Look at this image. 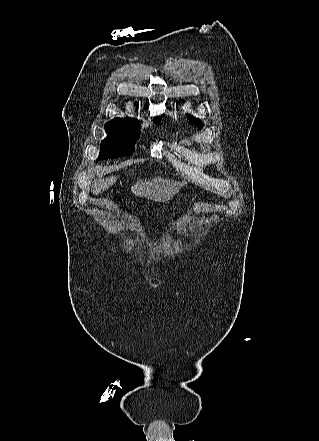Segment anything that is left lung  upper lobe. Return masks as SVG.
I'll return each mask as SVG.
<instances>
[{
  "label": "left lung upper lobe",
  "instance_id": "5c2ea615",
  "mask_svg": "<svg viewBox=\"0 0 319 441\" xmlns=\"http://www.w3.org/2000/svg\"><path fill=\"white\" fill-rule=\"evenodd\" d=\"M192 123H194L196 126H198L200 129L202 127V122L198 119H190Z\"/></svg>",
  "mask_w": 319,
  "mask_h": 441
}]
</instances>
